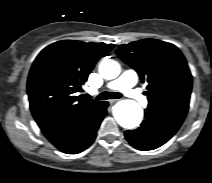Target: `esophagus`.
<instances>
[{
    "mask_svg": "<svg viewBox=\"0 0 212 183\" xmlns=\"http://www.w3.org/2000/svg\"><path fill=\"white\" fill-rule=\"evenodd\" d=\"M118 100H119V99H110V100H109V103H110V104H114V103L117 102Z\"/></svg>",
    "mask_w": 212,
    "mask_h": 183,
    "instance_id": "34e87169",
    "label": "esophagus"
}]
</instances>
